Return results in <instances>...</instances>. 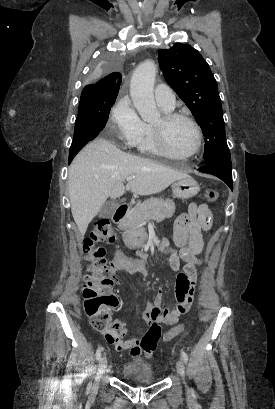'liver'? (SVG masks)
<instances>
[{"label": "liver", "instance_id": "liver-1", "mask_svg": "<svg viewBox=\"0 0 275 409\" xmlns=\"http://www.w3.org/2000/svg\"><path fill=\"white\" fill-rule=\"evenodd\" d=\"M127 176L134 178L124 186ZM185 176L189 174L157 164L150 158L123 152L107 138L98 136L88 142L70 164L68 188L72 217L83 237L108 196L118 198L125 190L155 194Z\"/></svg>", "mask_w": 275, "mask_h": 409}]
</instances>
